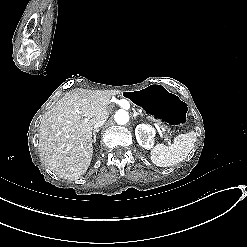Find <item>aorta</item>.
<instances>
[{
	"mask_svg": "<svg viewBox=\"0 0 247 247\" xmlns=\"http://www.w3.org/2000/svg\"><path fill=\"white\" fill-rule=\"evenodd\" d=\"M115 121L119 125H124L129 122V114L125 110H118L114 115Z\"/></svg>",
	"mask_w": 247,
	"mask_h": 247,
	"instance_id": "aorta-1",
	"label": "aorta"
}]
</instances>
